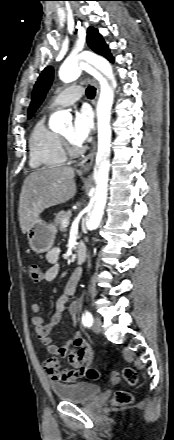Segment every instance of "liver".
<instances>
[{
    "label": "liver",
    "instance_id": "obj_1",
    "mask_svg": "<svg viewBox=\"0 0 174 440\" xmlns=\"http://www.w3.org/2000/svg\"><path fill=\"white\" fill-rule=\"evenodd\" d=\"M71 167L41 168L24 180L19 199V222L23 233L47 208L69 201L76 193Z\"/></svg>",
    "mask_w": 174,
    "mask_h": 440
}]
</instances>
